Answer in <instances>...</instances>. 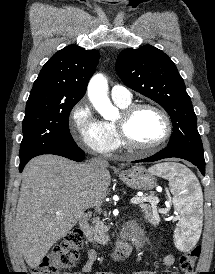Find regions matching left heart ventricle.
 I'll return each mask as SVG.
<instances>
[{"label":"left heart ventricle","mask_w":215,"mask_h":274,"mask_svg":"<svg viewBox=\"0 0 215 274\" xmlns=\"http://www.w3.org/2000/svg\"><path fill=\"white\" fill-rule=\"evenodd\" d=\"M128 132L136 143L149 145L164 135L165 124L157 112L151 109H142L131 118Z\"/></svg>","instance_id":"1"}]
</instances>
